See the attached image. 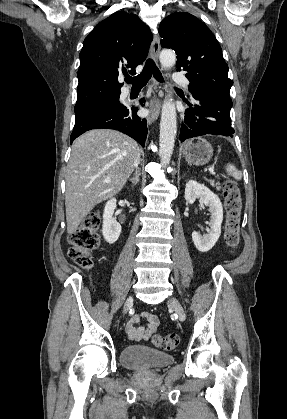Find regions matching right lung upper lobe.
I'll return each mask as SVG.
<instances>
[{"label": "right lung upper lobe", "mask_w": 287, "mask_h": 419, "mask_svg": "<svg viewBox=\"0 0 287 419\" xmlns=\"http://www.w3.org/2000/svg\"><path fill=\"white\" fill-rule=\"evenodd\" d=\"M153 39L135 14L118 11L96 25L80 52L75 107L120 95L118 76L135 74Z\"/></svg>", "instance_id": "obj_1"}]
</instances>
